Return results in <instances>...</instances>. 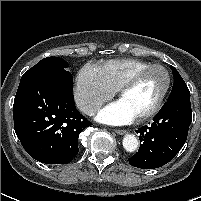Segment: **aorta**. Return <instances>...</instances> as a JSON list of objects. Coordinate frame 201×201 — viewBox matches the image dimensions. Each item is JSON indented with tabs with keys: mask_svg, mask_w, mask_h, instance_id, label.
I'll return each instance as SVG.
<instances>
[{
	"mask_svg": "<svg viewBox=\"0 0 201 201\" xmlns=\"http://www.w3.org/2000/svg\"><path fill=\"white\" fill-rule=\"evenodd\" d=\"M123 147L128 152H134L138 148V140L133 134H126L122 140Z\"/></svg>",
	"mask_w": 201,
	"mask_h": 201,
	"instance_id": "762f6f07",
	"label": "aorta"
}]
</instances>
